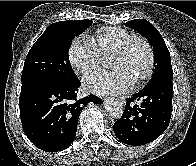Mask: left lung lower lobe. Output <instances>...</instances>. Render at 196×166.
<instances>
[{"label":"left lung lower lobe","instance_id":"0a47b994","mask_svg":"<svg viewBox=\"0 0 196 166\" xmlns=\"http://www.w3.org/2000/svg\"><path fill=\"white\" fill-rule=\"evenodd\" d=\"M172 79L156 80L127 98L123 115L114 123L116 137L125 144L141 146L158 138L168 127L172 111ZM140 100L141 105L135 104Z\"/></svg>","mask_w":196,"mask_h":166}]
</instances>
